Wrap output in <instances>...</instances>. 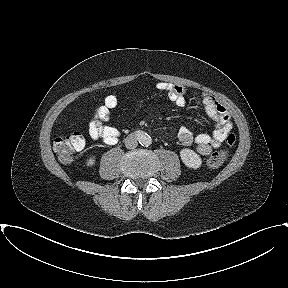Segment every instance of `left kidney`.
Instances as JSON below:
<instances>
[{
	"instance_id": "obj_1",
	"label": "left kidney",
	"mask_w": 288,
	"mask_h": 288,
	"mask_svg": "<svg viewBox=\"0 0 288 288\" xmlns=\"http://www.w3.org/2000/svg\"><path fill=\"white\" fill-rule=\"evenodd\" d=\"M180 157L183 163L192 169H197L201 166L202 160L200 156L193 150L185 148L180 151Z\"/></svg>"
}]
</instances>
